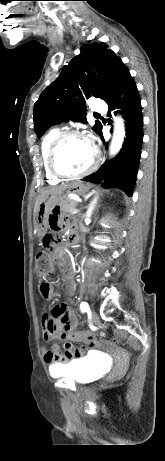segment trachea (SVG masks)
Here are the masks:
<instances>
[{"label":"trachea","instance_id":"trachea-1","mask_svg":"<svg viewBox=\"0 0 165 461\" xmlns=\"http://www.w3.org/2000/svg\"><path fill=\"white\" fill-rule=\"evenodd\" d=\"M94 116H99V114H98V113H94Z\"/></svg>","mask_w":165,"mask_h":461}]
</instances>
